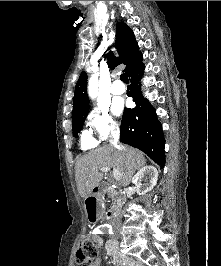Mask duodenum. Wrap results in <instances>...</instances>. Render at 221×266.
Returning <instances> with one entry per match:
<instances>
[{
  "label": "duodenum",
  "mask_w": 221,
  "mask_h": 266,
  "mask_svg": "<svg viewBox=\"0 0 221 266\" xmlns=\"http://www.w3.org/2000/svg\"><path fill=\"white\" fill-rule=\"evenodd\" d=\"M110 193V190L104 191L102 186H95L94 189H89V194H87V198H85V203H87V222L88 223H99L100 219H102L103 213V201L102 196ZM115 216V210L109 209L106 212V219L112 220Z\"/></svg>",
  "instance_id": "duodenum-1"
}]
</instances>
